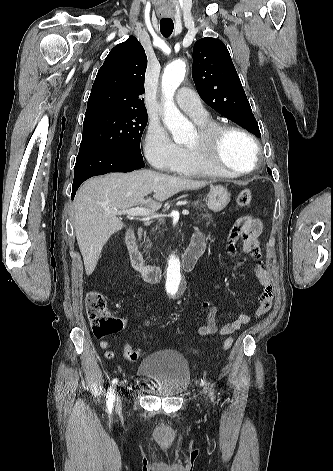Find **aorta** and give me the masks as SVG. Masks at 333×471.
I'll return each instance as SVG.
<instances>
[{
	"label": "aorta",
	"mask_w": 333,
	"mask_h": 471,
	"mask_svg": "<svg viewBox=\"0 0 333 471\" xmlns=\"http://www.w3.org/2000/svg\"><path fill=\"white\" fill-rule=\"evenodd\" d=\"M185 73V62L176 60L165 67L161 81L164 102L163 122L178 144L188 141L193 131L192 124L181 114L173 100L177 88L184 80ZM181 283L180 261L175 255H171L167 267L166 287L174 286V291L179 292Z\"/></svg>",
	"instance_id": "aorta-1"
}]
</instances>
